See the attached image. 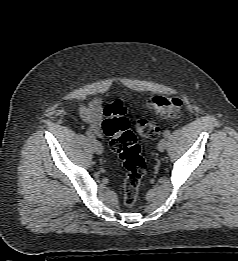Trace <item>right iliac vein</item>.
Segmentation results:
<instances>
[{
    "label": "right iliac vein",
    "instance_id": "right-iliac-vein-1",
    "mask_svg": "<svg viewBox=\"0 0 238 261\" xmlns=\"http://www.w3.org/2000/svg\"><path fill=\"white\" fill-rule=\"evenodd\" d=\"M93 150L96 154L100 155L103 153V147L101 145V143L98 140H93Z\"/></svg>",
    "mask_w": 238,
    "mask_h": 261
}]
</instances>
